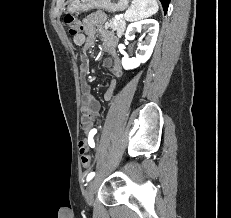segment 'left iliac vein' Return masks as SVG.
I'll list each match as a JSON object with an SVG mask.
<instances>
[{"label":"left iliac vein","mask_w":231,"mask_h":218,"mask_svg":"<svg viewBox=\"0 0 231 218\" xmlns=\"http://www.w3.org/2000/svg\"><path fill=\"white\" fill-rule=\"evenodd\" d=\"M95 189H96V181L95 179H93L89 182L85 191V200L90 207L93 205L94 202Z\"/></svg>","instance_id":"1"}]
</instances>
